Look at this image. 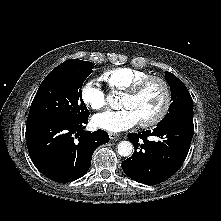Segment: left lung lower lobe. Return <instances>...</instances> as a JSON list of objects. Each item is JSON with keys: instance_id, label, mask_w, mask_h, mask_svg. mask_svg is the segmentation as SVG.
I'll list each match as a JSON object with an SVG mask.
<instances>
[{"instance_id": "0a47b994", "label": "left lung lower lobe", "mask_w": 221, "mask_h": 221, "mask_svg": "<svg viewBox=\"0 0 221 221\" xmlns=\"http://www.w3.org/2000/svg\"><path fill=\"white\" fill-rule=\"evenodd\" d=\"M193 134V122L180 120L159 124L152 131L128 134L135 151L122 162L123 171L144 184H156L167 179L184 162ZM150 136L157 139H148Z\"/></svg>"}]
</instances>
